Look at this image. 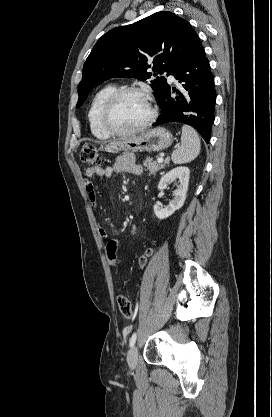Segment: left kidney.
Returning <instances> with one entry per match:
<instances>
[{
	"label": "left kidney",
	"mask_w": 272,
	"mask_h": 417,
	"mask_svg": "<svg viewBox=\"0 0 272 417\" xmlns=\"http://www.w3.org/2000/svg\"><path fill=\"white\" fill-rule=\"evenodd\" d=\"M189 174L190 171L188 167L180 166L170 170L162 176L158 184V190L165 189L169 182L176 178L179 179V184L177 189L173 192V199L170 201L168 206L163 208L159 204L154 205V213L158 219L161 220L168 218L176 210H179L184 205L189 184Z\"/></svg>",
	"instance_id": "5707ae66"
}]
</instances>
